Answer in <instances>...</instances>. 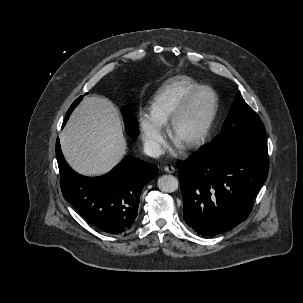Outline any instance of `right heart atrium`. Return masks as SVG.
<instances>
[{"label": "right heart atrium", "instance_id": "obj_1", "mask_svg": "<svg viewBox=\"0 0 303 303\" xmlns=\"http://www.w3.org/2000/svg\"><path fill=\"white\" fill-rule=\"evenodd\" d=\"M139 127L142 140L152 155L161 153L165 142V129L151 113L141 111L139 114Z\"/></svg>", "mask_w": 303, "mask_h": 303}]
</instances>
